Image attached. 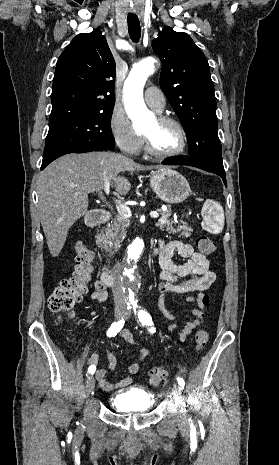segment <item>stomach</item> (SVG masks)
Here are the masks:
<instances>
[{
    "label": "stomach",
    "mask_w": 279,
    "mask_h": 465,
    "mask_svg": "<svg viewBox=\"0 0 279 465\" xmlns=\"http://www.w3.org/2000/svg\"><path fill=\"white\" fill-rule=\"evenodd\" d=\"M150 185L157 197L169 204L183 202L191 193L186 178L171 168H161L150 177Z\"/></svg>",
    "instance_id": "1"
}]
</instances>
